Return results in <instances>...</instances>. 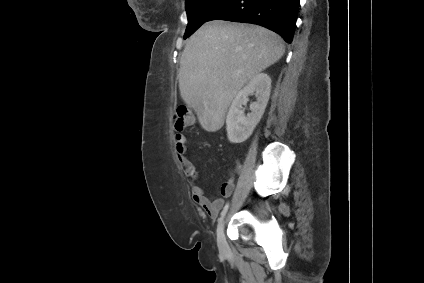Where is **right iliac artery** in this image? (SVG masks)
Here are the masks:
<instances>
[{
  "instance_id": "right-iliac-artery-1",
  "label": "right iliac artery",
  "mask_w": 424,
  "mask_h": 283,
  "mask_svg": "<svg viewBox=\"0 0 424 283\" xmlns=\"http://www.w3.org/2000/svg\"><path fill=\"white\" fill-rule=\"evenodd\" d=\"M228 208H229V202H227V203H226V205L224 206V208H223V210H222V212H221L220 220H221V219L225 216V214H226V212H227Z\"/></svg>"
}]
</instances>
